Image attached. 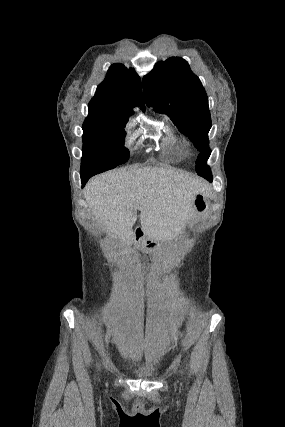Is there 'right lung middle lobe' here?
Instances as JSON below:
<instances>
[{
	"instance_id": "right-lung-middle-lobe-1",
	"label": "right lung middle lobe",
	"mask_w": 285,
	"mask_h": 427,
	"mask_svg": "<svg viewBox=\"0 0 285 427\" xmlns=\"http://www.w3.org/2000/svg\"><path fill=\"white\" fill-rule=\"evenodd\" d=\"M126 123L83 125L81 173L98 174L129 159V151L124 148Z\"/></svg>"
}]
</instances>
